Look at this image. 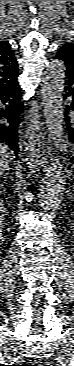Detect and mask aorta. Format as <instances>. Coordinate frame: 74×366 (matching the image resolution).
I'll return each instance as SVG.
<instances>
[{"mask_svg":"<svg viewBox=\"0 0 74 366\" xmlns=\"http://www.w3.org/2000/svg\"><path fill=\"white\" fill-rule=\"evenodd\" d=\"M65 63L54 60L47 68L42 80L41 96L44 116L51 139L60 142L64 134L63 91L65 87ZM64 164L58 156L51 155L44 176L38 186L41 207L55 204L63 191Z\"/></svg>","mask_w":74,"mask_h":366,"instance_id":"762f6f07","label":"aorta"}]
</instances>
